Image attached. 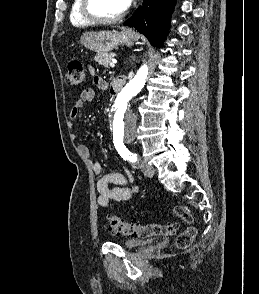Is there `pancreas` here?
<instances>
[{
    "instance_id": "cf45deb5",
    "label": "pancreas",
    "mask_w": 259,
    "mask_h": 294,
    "mask_svg": "<svg viewBox=\"0 0 259 294\" xmlns=\"http://www.w3.org/2000/svg\"><path fill=\"white\" fill-rule=\"evenodd\" d=\"M115 57V53H103V54H98L96 57H95V61L99 64V65H102L106 68L109 67L112 59Z\"/></svg>"
}]
</instances>
